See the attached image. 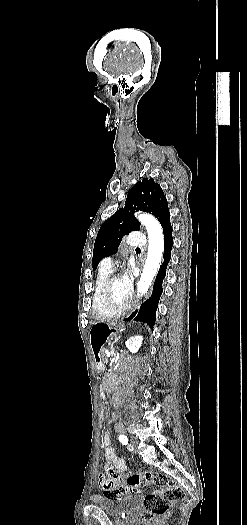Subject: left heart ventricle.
Segmentation results:
<instances>
[{"mask_svg":"<svg viewBox=\"0 0 247 525\" xmlns=\"http://www.w3.org/2000/svg\"><path fill=\"white\" fill-rule=\"evenodd\" d=\"M140 267H147V268H150L151 264H138ZM121 280L120 278H116L113 280V282L111 283L110 285V295L117 299V300H120V301H124L126 299V295L124 293H122L121 289H120V284H121Z\"/></svg>","mask_w":247,"mask_h":525,"instance_id":"b2bd125f","label":"left heart ventricle"}]
</instances>
